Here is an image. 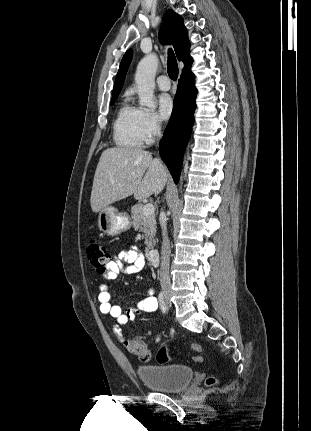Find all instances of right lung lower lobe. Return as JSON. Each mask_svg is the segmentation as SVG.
<instances>
[{
    "instance_id": "obj_1",
    "label": "right lung lower lobe",
    "mask_w": 311,
    "mask_h": 431,
    "mask_svg": "<svg viewBox=\"0 0 311 431\" xmlns=\"http://www.w3.org/2000/svg\"><path fill=\"white\" fill-rule=\"evenodd\" d=\"M196 94L194 75L189 69L182 73L179 80L171 118L159 147L161 158L175 183L179 180L182 157L190 136Z\"/></svg>"
}]
</instances>
